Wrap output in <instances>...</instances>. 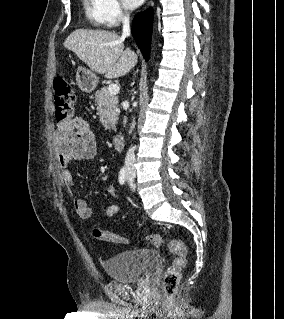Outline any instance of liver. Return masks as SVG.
Here are the masks:
<instances>
[{
  "label": "liver",
  "instance_id": "6515ba94",
  "mask_svg": "<svg viewBox=\"0 0 284 319\" xmlns=\"http://www.w3.org/2000/svg\"><path fill=\"white\" fill-rule=\"evenodd\" d=\"M123 42L124 38L115 32L76 29L63 45L92 71L110 79L125 75L137 63V55L130 49L124 50Z\"/></svg>",
  "mask_w": 284,
  "mask_h": 319
}]
</instances>
